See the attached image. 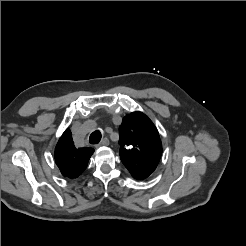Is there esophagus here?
I'll return each mask as SVG.
<instances>
[{
  "mask_svg": "<svg viewBox=\"0 0 246 246\" xmlns=\"http://www.w3.org/2000/svg\"><path fill=\"white\" fill-rule=\"evenodd\" d=\"M109 145V139L104 138L101 140V142L98 144V146H108Z\"/></svg>",
  "mask_w": 246,
  "mask_h": 246,
  "instance_id": "obj_1",
  "label": "esophagus"
}]
</instances>
